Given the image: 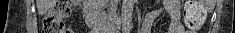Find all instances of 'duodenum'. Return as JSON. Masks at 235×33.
Returning a JSON list of instances; mask_svg holds the SVG:
<instances>
[{"instance_id": "duodenum-1", "label": "duodenum", "mask_w": 235, "mask_h": 33, "mask_svg": "<svg viewBox=\"0 0 235 33\" xmlns=\"http://www.w3.org/2000/svg\"><path fill=\"white\" fill-rule=\"evenodd\" d=\"M86 23L92 33H100L102 31L103 22L101 20V14L94 1L86 2Z\"/></svg>"}]
</instances>
